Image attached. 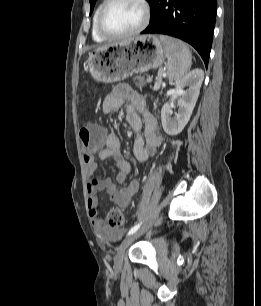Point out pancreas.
I'll use <instances>...</instances> for the list:
<instances>
[{
  "label": "pancreas",
  "mask_w": 261,
  "mask_h": 306,
  "mask_svg": "<svg viewBox=\"0 0 261 306\" xmlns=\"http://www.w3.org/2000/svg\"><path fill=\"white\" fill-rule=\"evenodd\" d=\"M147 82H151V80L148 79ZM160 84H161V81L157 80L156 86H154V90H158L160 88Z\"/></svg>",
  "instance_id": "1"
}]
</instances>
